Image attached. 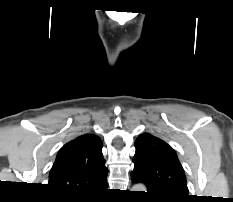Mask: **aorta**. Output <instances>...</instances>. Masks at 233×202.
<instances>
[{
  "label": "aorta",
  "mask_w": 233,
  "mask_h": 202,
  "mask_svg": "<svg viewBox=\"0 0 233 202\" xmlns=\"http://www.w3.org/2000/svg\"><path fill=\"white\" fill-rule=\"evenodd\" d=\"M132 189H133L132 191H144L145 187L141 184H138V185L133 186Z\"/></svg>",
  "instance_id": "obj_1"
}]
</instances>
